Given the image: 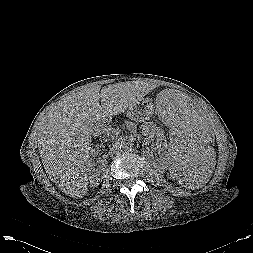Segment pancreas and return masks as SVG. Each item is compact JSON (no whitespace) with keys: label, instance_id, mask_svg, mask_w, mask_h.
Returning a JSON list of instances; mask_svg holds the SVG:
<instances>
[{"label":"pancreas","instance_id":"1","mask_svg":"<svg viewBox=\"0 0 253 253\" xmlns=\"http://www.w3.org/2000/svg\"><path fill=\"white\" fill-rule=\"evenodd\" d=\"M98 132L104 133V135H105L104 139L105 140H113L114 138L118 137V135H119V131L115 130L112 127H104Z\"/></svg>","mask_w":253,"mask_h":253}]
</instances>
